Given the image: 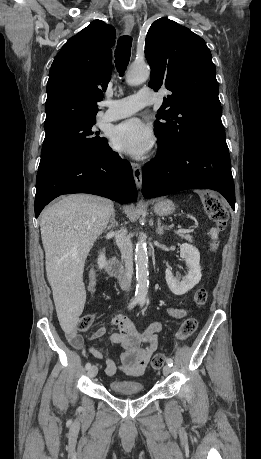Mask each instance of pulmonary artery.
Instances as JSON below:
<instances>
[{"instance_id":"e3ab8cb5","label":"pulmonary artery","mask_w":261,"mask_h":459,"mask_svg":"<svg viewBox=\"0 0 261 459\" xmlns=\"http://www.w3.org/2000/svg\"><path fill=\"white\" fill-rule=\"evenodd\" d=\"M154 102V94L149 88H142L136 94L122 99L106 101L108 107L103 115L105 121H115L128 117Z\"/></svg>"}]
</instances>
